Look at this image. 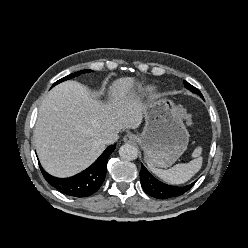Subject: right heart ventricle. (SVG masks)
Masks as SVG:
<instances>
[{
	"label": "right heart ventricle",
	"mask_w": 248,
	"mask_h": 248,
	"mask_svg": "<svg viewBox=\"0 0 248 248\" xmlns=\"http://www.w3.org/2000/svg\"><path fill=\"white\" fill-rule=\"evenodd\" d=\"M151 91H153L152 87H146L142 90V92H151Z\"/></svg>",
	"instance_id": "e07e8e85"
}]
</instances>
